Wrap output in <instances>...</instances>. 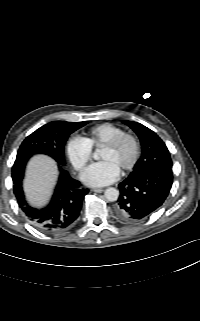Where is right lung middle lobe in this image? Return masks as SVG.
Listing matches in <instances>:
<instances>
[{
	"mask_svg": "<svg viewBox=\"0 0 200 321\" xmlns=\"http://www.w3.org/2000/svg\"><path fill=\"white\" fill-rule=\"evenodd\" d=\"M84 122H50L32 134L22 142L16 160L19 158H30L34 154H46L57 161L58 164L65 166L64 145L71 133L83 127Z\"/></svg>",
	"mask_w": 200,
	"mask_h": 321,
	"instance_id": "1",
	"label": "right lung middle lobe"
}]
</instances>
